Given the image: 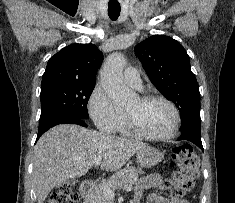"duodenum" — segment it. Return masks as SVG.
<instances>
[{"instance_id":"1","label":"duodenum","mask_w":235,"mask_h":203,"mask_svg":"<svg viewBox=\"0 0 235 203\" xmlns=\"http://www.w3.org/2000/svg\"><path fill=\"white\" fill-rule=\"evenodd\" d=\"M95 185H96V182L93 179H86L81 184L79 191H80V195L84 203H87L91 193L93 192L95 188ZM133 203H139V201L134 199Z\"/></svg>"}]
</instances>
